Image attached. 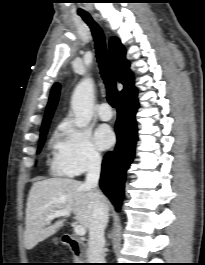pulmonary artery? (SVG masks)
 Segmentation results:
<instances>
[{
	"label": "pulmonary artery",
	"instance_id": "obj_1",
	"mask_svg": "<svg viewBox=\"0 0 205 265\" xmlns=\"http://www.w3.org/2000/svg\"><path fill=\"white\" fill-rule=\"evenodd\" d=\"M98 115L104 121L110 120L113 116L110 105L106 102L100 104L98 108Z\"/></svg>",
	"mask_w": 205,
	"mask_h": 265
}]
</instances>
